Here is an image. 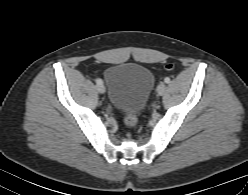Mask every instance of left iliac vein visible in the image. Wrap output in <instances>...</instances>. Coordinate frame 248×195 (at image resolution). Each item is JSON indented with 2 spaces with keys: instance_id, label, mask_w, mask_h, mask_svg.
<instances>
[{
  "instance_id": "4c4485c4",
  "label": "left iliac vein",
  "mask_w": 248,
  "mask_h": 195,
  "mask_svg": "<svg viewBox=\"0 0 248 195\" xmlns=\"http://www.w3.org/2000/svg\"><path fill=\"white\" fill-rule=\"evenodd\" d=\"M166 86L163 83H160L157 87V92L159 95H163L165 93Z\"/></svg>"
}]
</instances>
